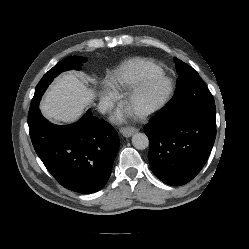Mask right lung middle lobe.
Masks as SVG:
<instances>
[{
  "mask_svg": "<svg viewBox=\"0 0 249 249\" xmlns=\"http://www.w3.org/2000/svg\"><path fill=\"white\" fill-rule=\"evenodd\" d=\"M86 61V58L80 56H69L60 61L40 80L36 87L34 97L36 98L38 96H42L48 85L52 82L53 78H55L58 74L71 69L80 70L81 64L85 63Z\"/></svg>",
  "mask_w": 249,
  "mask_h": 249,
  "instance_id": "1",
  "label": "right lung middle lobe"
}]
</instances>
